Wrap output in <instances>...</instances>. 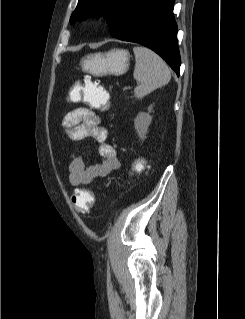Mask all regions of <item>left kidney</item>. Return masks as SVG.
Listing matches in <instances>:
<instances>
[{
	"mask_svg": "<svg viewBox=\"0 0 245 319\" xmlns=\"http://www.w3.org/2000/svg\"><path fill=\"white\" fill-rule=\"evenodd\" d=\"M152 106L148 108V112H140L136 118L134 119V127L135 130L141 140L146 138V134L148 132V127L152 121V117L149 114L152 111Z\"/></svg>",
	"mask_w": 245,
	"mask_h": 319,
	"instance_id": "5707ae66",
	"label": "left kidney"
}]
</instances>
